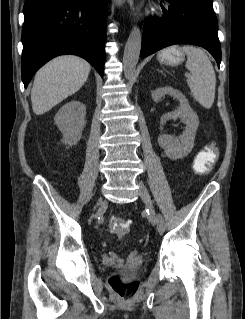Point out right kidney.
Masks as SVG:
<instances>
[{
	"mask_svg": "<svg viewBox=\"0 0 245 319\" xmlns=\"http://www.w3.org/2000/svg\"><path fill=\"white\" fill-rule=\"evenodd\" d=\"M86 106L80 101L73 100L63 105L54 121L63 133V142L69 146L76 145L82 137L85 127Z\"/></svg>",
	"mask_w": 245,
	"mask_h": 319,
	"instance_id": "obj_1",
	"label": "right kidney"
}]
</instances>
